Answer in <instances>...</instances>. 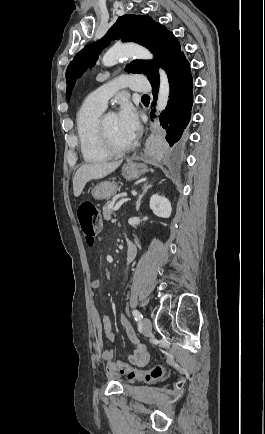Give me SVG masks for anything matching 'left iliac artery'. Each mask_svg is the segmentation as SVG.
<instances>
[{
  "label": "left iliac artery",
  "mask_w": 265,
  "mask_h": 434,
  "mask_svg": "<svg viewBox=\"0 0 265 434\" xmlns=\"http://www.w3.org/2000/svg\"><path fill=\"white\" fill-rule=\"evenodd\" d=\"M132 314L134 316L135 321L140 322L143 318L142 314L138 310H133Z\"/></svg>",
  "instance_id": "left-iliac-artery-1"
}]
</instances>
